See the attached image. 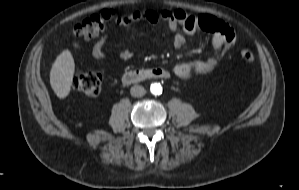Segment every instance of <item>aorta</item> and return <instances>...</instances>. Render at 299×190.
<instances>
[{"label":"aorta","instance_id":"1","mask_svg":"<svg viewBox=\"0 0 299 190\" xmlns=\"http://www.w3.org/2000/svg\"><path fill=\"white\" fill-rule=\"evenodd\" d=\"M150 91L154 95H159L162 93V86L159 83H152L150 86Z\"/></svg>","mask_w":299,"mask_h":190}]
</instances>
